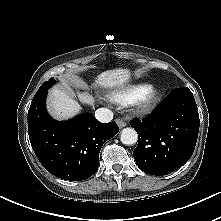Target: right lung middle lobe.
Listing matches in <instances>:
<instances>
[{
	"mask_svg": "<svg viewBox=\"0 0 221 221\" xmlns=\"http://www.w3.org/2000/svg\"><path fill=\"white\" fill-rule=\"evenodd\" d=\"M55 79L51 78L49 81L44 82L40 88L38 89V92L44 91V90H48L54 83H55Z\"/></svg>",
	"mask_w": 221,
	"mask_h": 221,
	"instance_id": "dd1d6c3e",
	"label": "right lung middle lobe"
}]
</instances>
